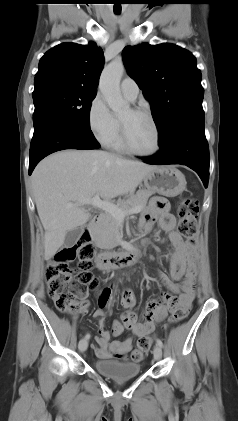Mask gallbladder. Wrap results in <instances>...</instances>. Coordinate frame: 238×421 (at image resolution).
Wrapping results in <instances>:
<instances>
[{"mask_svg":"<svg viewBox=\"0 0 238 421\" xmlns=\"http://www.w3.org/2000/svg\"><path fill=\"white\" fill-rule=\"evenodd\" d=\"M83 233V227L79 226L74 230L67 232L64 240V244L67 247H72L80 238L81 234Z\"/></svg>","mask_w":238,"mask_h":421,"instance_id":"gallbladder-1","label":"gallbladder"}]
</instances>
